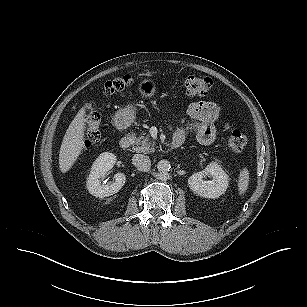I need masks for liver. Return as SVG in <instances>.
Masks as SVG:
<instances>
[{"label":"liver","mask_w":307,"mask_h":307,"mask_svg":"<svg viewBox=\"0 0 307 307\" xmlns=\"http://www.w3.org/2000/svg\"><path fill=\"white\" fill-rule=\"evenodd\" d=\"M85 107L81 108L64 135L60 152L59 168L62 173L69 171L81 154L85 133Z\"/></svg>","instance_id":"1"}]
</instances>
